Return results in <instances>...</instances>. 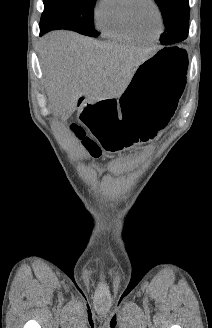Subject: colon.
<instances>
[{"mask_svg":"<svg viewBox=\"0 0 212 328\" xmlns=\"http://www.w3.org/2000/svg\"><path fill=\"white\" fill-rule=\"evenodd\" d=\"M71 130L74 133V135L81 141L82 145L85 147V149L93 158L100 157L102 152V147L104 148V146H99L98 140H95L94 138L88 136L84 128L79 124L76 123L72 124Z\"/></svg>","mask_w":212,"mask_h":328,"instance_id":"1","label":"colon"}]
</instances>
